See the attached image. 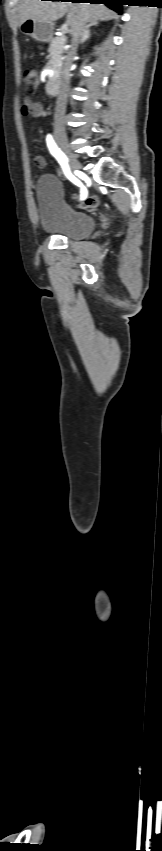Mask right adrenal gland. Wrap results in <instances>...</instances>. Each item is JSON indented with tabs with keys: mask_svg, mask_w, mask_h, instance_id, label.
Listing matches in <instances>:
<instances>
[{
	"mask_svg": "<svg viewBox=\"0 0 162 851\" xmlns=\"http://www.w3.org/2000/svg\"><path fill=\"white\" fill-rule=\"evenodd\" d=\"M94 25H97V23H89L88 25H86L84 35H83V38H82V43H84L85 41H87L91 37L90 28Z\"/></svg>",
	"mask_w": 162,
	"mask_h": 851,
	"instance_id": "obj_1",
	"label": "right adrenal gland"
}]
</instances>
